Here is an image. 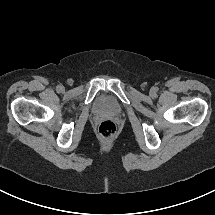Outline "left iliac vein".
<instances>
[{"mask_svg":"<svg viewBox=\"0 0 215 215\" xmlns=\"http://www.w3.org/2000/svg\"><path fill=\"white\" fill-rule=\"evenodd\" d=\"M150 95L153 96V97L156 95V90L154 88H152L150 90Z\"/></svg>","mask_w":215,"mask_h":215,"instance_id":"left-iliac-vein-1","label":"left iliac vein"}]
</instances>
